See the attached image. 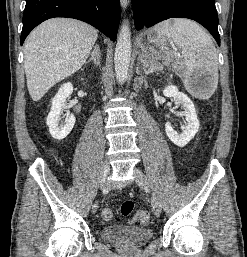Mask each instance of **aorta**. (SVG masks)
<instances>
[{
    "label": "aorta",
    "mask_w": 247,
    "mask_h": 257,
    "mask_svg": "<svg viewBox=\"0 0 247 257\" xmlns=\"http://www.w3.org/2000/svg\"><path fill=\"white\" fill-rule=\"evenodd\" d=\"M131 32L128 21L121 25L114 55L115 73L118 81L124 83L128 77L131 58Z\"/></svg>",
    "instance_id": "762f6f07"
}]
</instances>
